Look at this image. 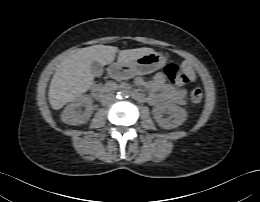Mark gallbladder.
Returning <instances> with one entry per match:
<instances>
[{
  "instance_id": "gallbladder-1",
  "label": "gallbladder",
  "mask_w": 260,
  "mask_h": 202,
  "mask_svg": "<svg viewBox=\"0 0 260 202\" xmlns=\"http://www.w3.org/2000/svg\"><path fill=\"white\" fill-rule=\"evenodd\" d=\"M91 73L95 77H100L103 74V67L97 61H93L90 67Z\"/></svg>"
}]
</instances>
